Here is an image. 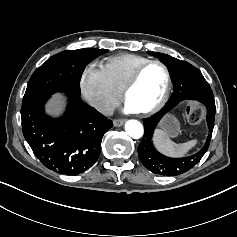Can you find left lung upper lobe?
Instances as JSON below:
<instances>
[{
    "mask_svg": "<svg viewBox=\"0 0 237 237\" xmlns=\"http://www.w3.org/2000/svg\"><path fill=\"white\" fill-rule=\"evenodd\" d=\"M159 58L169 69L174 85V93L166 105V109H172L180 101L214 99L210 85L203 77L199 69L186 61L178 60L166 54L148 52ZM161 119L156 115L144 122V137L138 147V155L142 164L154 174L164 176L180 175L197 164L208 150L211 136L210 133L203 148L196 154L183 158H170L160 154L151 142L154 129Z\"/></svg>",
    "mask_w": 237,
    "mask_h": 237,
    "instance_id": "left-lung-upper-lobe-1",
    "label": "left lung upper lobe"
}]
</instances>
